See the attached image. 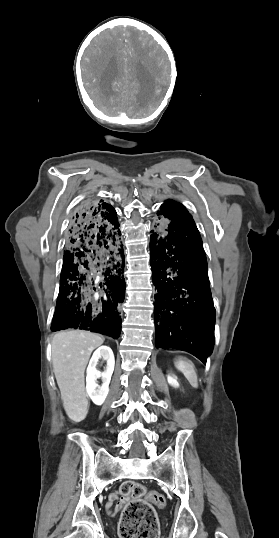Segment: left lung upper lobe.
<instances>
[{"mask_svg": "<svg viewBox=\"0 0 279 538\" xmlns=\"http://www.w3.org/2000/svg\"><path fill=\"white\" fill-rule=\"evenodd\" d=\"M158 215H161L162 218V223L158 224V226L173 223H188L195 225L192 216L188 213L186 208L173 200H168L162 204Z\"/></svg>", "mask_w": 279, "mask_h": 538, "instance_id": "obj_1", "label": "left lung upper lobe"}]
</instances>
